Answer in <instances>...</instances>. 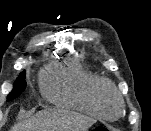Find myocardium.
<instances>
[{"label":"myocardium","instance_id":"myocardium-1","mask_svg":"<svg viewBox=\"0 0 151 131\" xmlns=\"http://www.w3.org/2000/svg\"><path fill=\"white\" fill-rule=\"evenodd\" d=\"M114 99L117 104V110L114 114L109 113L107 102L109 99ZM97 106L101 114L106 118L117 117L124 108V99L122 94L108 81H106L98 91L96 97Z\"/></svg>","mask_w":151,"mask_h":131}]
</instances>
